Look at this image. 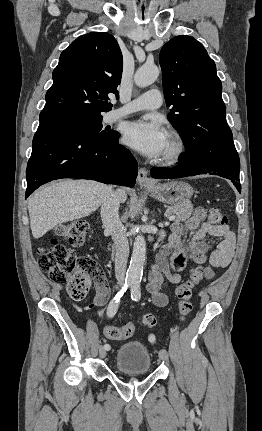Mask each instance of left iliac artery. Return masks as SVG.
I'll list each match as a JSON object with an SVG mask.
<instances>
[{"label":"left iliac artery","mask_w":262,"mask_h":431,"mask_svg":"<svg viewBox=\"0 0 262 431\" xmlns=\"http://www.w3.org/2000/svg\"><path fill=\"white\" fill-rule=\"evenodd\" d=\"M131 298L134 301H138L141 298V288L139 281L133 282L131 285Z\"/></svg>","instance_id":"left-iliac-artery-1"}]
</instances>
